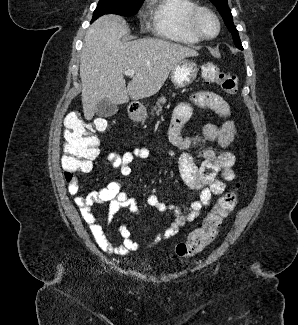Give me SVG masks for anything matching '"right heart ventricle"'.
Segmentation results:
<instances>
[{"label":"right heart ventricle","mask_w":298,"mask_h":325,"mask_svg":"<svg viewBox=\"0 0 298 325\" xmlns=\"http://www.w3.org/2000/svg\"><path fill=\"white\" fill-rule=\"evenodd\" d=\"M188 0H166L149 6L152 37H169L181 46H196L201 41L188 29L187 19L197 8Z\"/></svg>","instance_id":"obj_1"}]
</instances>
